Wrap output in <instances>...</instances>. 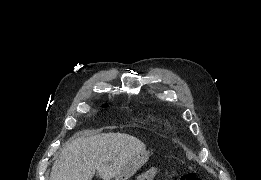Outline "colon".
I'll list each match as a JSON object with an SVG mask.
<instances>
[{
    "label": "colon",
    "instance_id": "obj_1",
    "mask_svg": "<svg viewBox=\"0 0 261 180\" xmlns=\"http://www.w3.org/2000/svg\"><path fill=\"white\" fill-rule=\"evenodd\" d=\"M181 180H200V177L193 173L182 174L180 177Z\"/></svg>",
    "mask_w": 261,
    "mask_h": 180
}]
</instances>
